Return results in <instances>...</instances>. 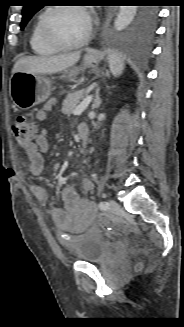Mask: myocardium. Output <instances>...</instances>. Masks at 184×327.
Here are the masks:
<instances>
[{
  "instance_id": "obj_1",
  "label": "myocardium",
  "mask_w": 184,
  "mask_h": 327,
  "mask_svg": "<svg viewBox=\"0 0 184 327\" xmlns=\"http://www.w3.org/2000/svg\"><path fill=\"white\" fill-rule=\"evenodd\" d=\"M63 9H74L83 12L88 20V30L86 34L78 41L76 42H65L58 38L54 32L51 29L50 26V20L51 16L54 12L63 10ZM40 30L42 37L44 40L50 44L51 46L59 49V50H70V49H76L79 47L84 46L91 38L92 36V22L89 14L86 12V10L81 6L76 5H56L49 7L44 14L42 15L41 22H40Z\"/></svg>"
}]
</instances>
